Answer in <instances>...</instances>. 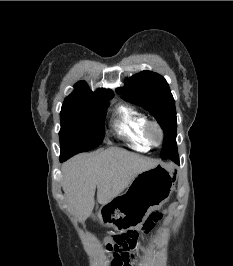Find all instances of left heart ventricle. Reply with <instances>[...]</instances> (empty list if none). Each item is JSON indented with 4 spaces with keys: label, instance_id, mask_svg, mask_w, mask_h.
<instances>
[{
    "label": "left heart ventricle",
    "instance_id": "b2bd125f",
    "mask_svg": "<svg viewBox=\"0 0 233 266\" xmlns=\"http://www.w3.org/2000/svg\"><path fill=\"white\" fill-rule=\"evenodd\" d=\"M153 138H154V140L158 139V134L156 132L153 133Z\"/></svg>",
    "mask_w": 233,
    "mask_h": 266
}]
</instances>
